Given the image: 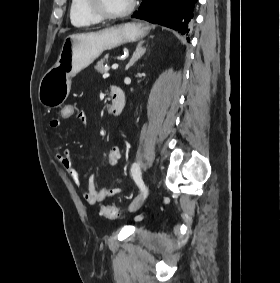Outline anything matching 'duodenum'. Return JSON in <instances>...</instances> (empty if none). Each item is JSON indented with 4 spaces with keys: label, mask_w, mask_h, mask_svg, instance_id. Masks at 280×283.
Masks as SVG:
<instances>
[{
    "label": "duodenum",
    "mask_w": 280,
    "mask_h": 283,
    "mask_svg": "<svg viewBox=\"0 0 280 283\" xmlns=\"http://www.w3.org/2000/svg\"><path fill=\"white\" fill-rule=\"evenodd\" d=\"M110 97V113L113 116H119L125 107V94L124 92L112 86L109 92Z\"/></svg>",
    "instance_id": "duodenum-1"
}]
</instances>
